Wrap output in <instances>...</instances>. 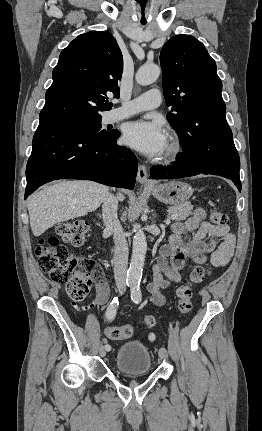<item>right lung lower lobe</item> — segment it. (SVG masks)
Masks as SVG:
<instances>
[{
    "mask_svg": "<svg viewBox=\"0 0 262 431\" xmlns=\"http://www.w3.org/2000/svg\"><path fill=\"white\" fill-rule=\"evenodd\" d=\"M120 132L90 134L68 124H39L27 162L25 199L57 179L91 180L132 189L138 162L128 148L116 145Z\"/></svg>",
    "mask_w": 262,
    "mask_h": 431,
    "instance_id": "obj_1",
    "label": "right lung lower lobe"
}]
</instances>
